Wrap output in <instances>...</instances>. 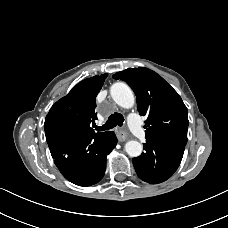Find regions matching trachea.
<instances>
[{"mask_svg":"<svg viewBox=\"0 0 228 228\" xmlns=\"http://www.w3.org/2000/svg\"><path fill=\"white\" fill-rule=\"evenodd\" d=\"M123 123H124L123 115L120 114V113L115 112L114 114H112L108 118L107 122L104 125L97 126L96 130L97 131H105V130L112 129V128L116 127V126H120L121 127L123 125Z\"/></svg>","mask_w":228,"mask_h":228,"instance_id":"trachea-1","label":"trachea"}]
</instances>
